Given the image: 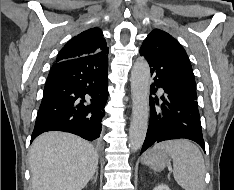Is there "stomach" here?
Returning a JSON list of instances; mask_svg holds the SVG:
<instances>
[{
	"instance_id": "1",
	"label": "stomach",
	"mask_w": 234,
	"mask_h": 190,
	"mask_svg": "<svg viewBox=\"0 0 234 190\" xmlns=\"http://www.w3.org/2000/svg\"><path fill=\"white\" fill-rule=\"evenodd\" d=\"M170 154L166 150H149L142 157V163L148 165L150 168L160 171L170 161Z\"/></svg>"
}]
</instances>
